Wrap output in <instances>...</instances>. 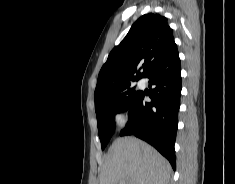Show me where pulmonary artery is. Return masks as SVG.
<instances>
[{
	"instance_id": "1",
	"label": "pulmonary artery",
	"mask_w": 235,
	"mask_h": 184,
	"mask_svg": "<svg viewBox=\"0 0 235 184\" xmlns=\"http://www.w3.org/2000/svg\"><path fill=\"white\" fill-rule=\"evenodd\" d=\"M139 85L143 87L145 85V83L143 81H140Z\"/></svg>"
}]
</instances>
